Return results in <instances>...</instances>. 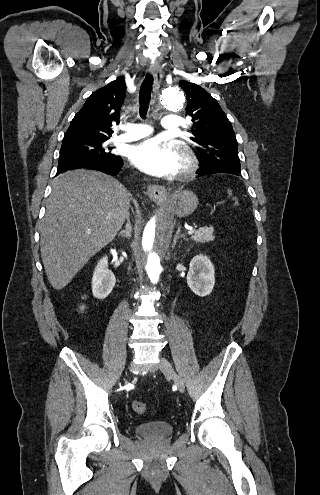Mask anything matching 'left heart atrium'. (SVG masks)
Listing matches in <instances>:
<instances>
[{
	"mask_svg": "<svg viewBox=\"0 0 320 495\" xmlns=\"http://www.w3.org/2000/svg\"><path fill=\"white\" fill-rule=\"evenodd\" d=\"M129 159L141 171L158 177L172 176L180 166L177 151L156 138L134 145L130 150Z\"/></svg>",
	"mask_w": 320,
	"mask_h": 495,
	"instance_id": "obj_1",
	"label": "left heart atrium"
}]
</instances>
